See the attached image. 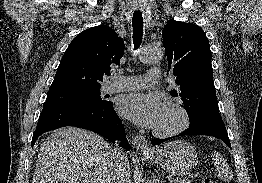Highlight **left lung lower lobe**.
<instances>
[{"instance_id":"0a47b994","label":"left lung lower lobe","mask_w":262,"mask_h":183,"mask_svg":"<svg viewBox=\"0 0 262 183\" xmlns=\"http://www.w3.org/2000/svg\"><path fill=\"white\" fill-rule=\"evenodd\" d=\"M185 135H208V136H213L216 138L221 139L222 141H224L230 148H231V144L228 138V134L225 128V125L223 123L222 120H206V121H202L198 124L189 126L188 129H186L185 131H183L182 133H180L179 135H176L174 137H178V136H185ZM174 137H170L167 139H153L151 141V143L153 145H159L171 138Z\"/></svg>"}]
</instances>
